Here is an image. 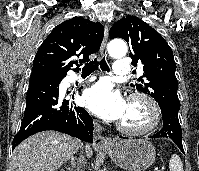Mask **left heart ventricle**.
<instances>
[{
  "label": "left heart ventricle",
  "mask_w": 199,
  "mask_h": 171,
  "mask_svg": "<svg viewBox=\"0 0 199 171\" xmlns=\"http://www.w3.org/2000/svg\"><path fill=\"white\" fill-rule=\"evenodd\" d=\"M146 119L147 114L142 104L129 103L120 122L130 126H138L143 124Z\"/></svg>",
  "instance_id": "1"
}]
</instances>
